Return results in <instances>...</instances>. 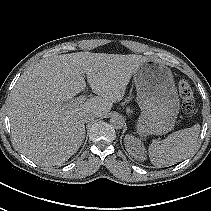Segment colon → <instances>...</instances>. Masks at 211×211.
<instances>
[{
	"label": "colon",
	"instance_id": "obj_1",
	"mask_svg": "<svg viewBox=\"0 0 211 211\" xmlns=\"http://www.w3.org/2000/svg\"><path fill=\"white\" fill-rule=\"evenodd\" d=\"M178 92L184 112L188 114L192 113L196 103L193 87L186 80H180L178 83Z\"/></svg>",
	"mask_w": 211,
	"mask_h": 211
}]
</instances>
